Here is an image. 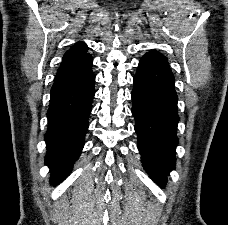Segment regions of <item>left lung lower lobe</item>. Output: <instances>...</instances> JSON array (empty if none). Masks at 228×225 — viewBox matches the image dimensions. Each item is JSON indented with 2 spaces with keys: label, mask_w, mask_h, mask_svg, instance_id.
Listing matches in <instances>:
<instances>
[{
  "label": "left lung lower lobe",
  "mask_w": 228,
  "mask_h": 225,
  "mask_svg": "<svg viewBox=\"0 0 228 225\" xmlns=\"http://www.w3.org/2000/svg\"><path fill=\"white\" fill-rule=\"evenodd\" d=\"M132 114L144 168L160 186L175 167L179 116L174 76L167 60L145 54L134 76Z\"/></svg>",
  "instance_id": "left-lung-lower-lobe-1"
}]
</instances>
